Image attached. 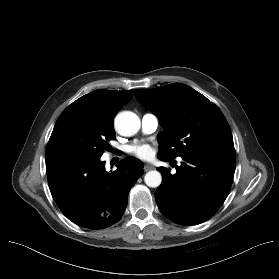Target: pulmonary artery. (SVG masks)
Wrapping results in <instances>:
<instances>
[{"label":"pulmonary artery","instance_id":"obj_1","mask_svg":"<svg viewBox=\"0 0 279 279\" xmlns=\"http://www.w3.org/2000/svg\"><path fill=\"white\" fill-rule=\"evenodd\" d=\"M159 126V119L153 113H146L142 116L141 127L146 134L153 133Z\"/></svg>","mask_w":279,"mask_h":279}]
</instances>
